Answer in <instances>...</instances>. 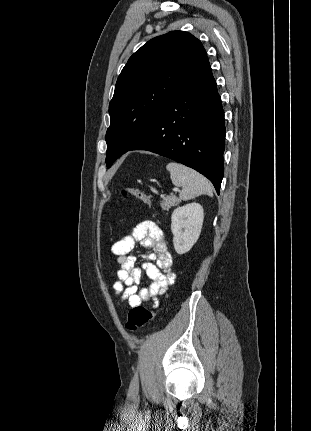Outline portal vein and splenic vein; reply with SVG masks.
I'll list each match as a JSON object with an SVG mask.
<instances>
[{"label": "portal vein and splenic vein", "instance_id": "obj_1", "mask_svg": "<svg viewBox=\"0 0 311 431\" xmlns=\"http://www.w3.org/2000/svg\"><path fill=\"white\" fill-rule=\"evenodd\" d=\"M173 192H179V188H173Z\"/></svg>", "mask_w": 311, "mask_h": 431}]
</instances>
